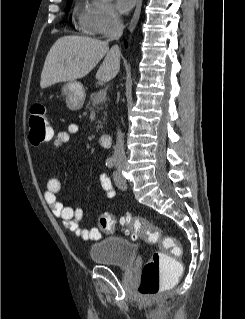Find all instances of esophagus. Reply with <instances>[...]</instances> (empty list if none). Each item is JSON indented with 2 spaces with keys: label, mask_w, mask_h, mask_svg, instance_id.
Listing matches in <instances>:
<instances>
[{
  "label": "esophagus",
  "mask_w": 245,
  "mask_h": 319,
  "mask_svg": "<svg viewBox=\"0 0 245 319\" xmlns=\"http://www.w3.org/2000/svg\"><path fill=\"white\" fill-rule=\"evenodd\" d=\"M142 1L143 0H137V5L134 11V14L131 18V21L129 23V32L132 33L138 23L139 17H140V12H141V7H142Z\"/></svg>",
  "instance_id": "34e87169"
}]
</instances>
